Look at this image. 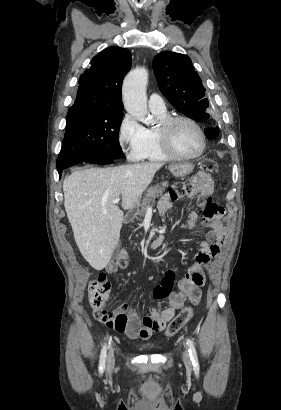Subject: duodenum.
<instances>
[{
    "instance_id": "1",
    "label": "duodenum",
    "mask_w": 281,
    "mask_h": 410,
    "mask_svg": "<svg viewBox=\"0 0 281 410\" xmlns=\"http://www.w3.org/2000/svg\"><path fill=\"white\" fill-rule=\"evenodd\" d=\"M135 213L136 211L134 209H130L126 212L125 216H124V221L125 222H130L131 220H133V218L135 217ZM161 244V239L158 238L157 240H155L152 243V248H158Z\"/></svg>"
}]
</instances>
